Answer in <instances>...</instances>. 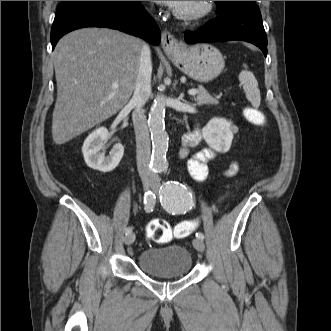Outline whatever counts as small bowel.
I'll return each instance as SVG.
<instances>
[{"label": "small bowel", "instance_id": "1", "mask_svg": "<svg viewBox=\"0 0 331 331\" xmlns=\"http://www.w3.org/2000/svg\"><path fill=\"white\" fill-rule=\"evenodd\" d=\"M201 140V132L199 128L185 133L182 137V145L180 149V156L186 157L189 149L198 145ZM215 157L211 149L204 148L197 153L193 154L187 162V167L190 175L196 181H204L209 174V162ZM238 171L237 163L233 162L229 168L224 172L228 177L234 176Z\"/></svg>", "mask_w": 331, "mask_h": 331}]
</instances>
